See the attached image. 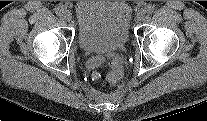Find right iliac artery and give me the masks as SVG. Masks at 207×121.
Returning <instances> with one entry per match:
<instances>
[{
  "instance_id": "1",
  "label": "right iliac artery",
  "mask_w": 207,
  "mask_h": 121,
  "mask_svg": "<svg viewBox=\"0 0 207 121\" xmlns=\"http://www.w3.org/2000/svg\"><path fill=\"white\" fill-rule=\"evenodd\" d=\"M55 13H56L58 16H63L64 8H63V7H56V8H55Z\"/></svg>"
}]
</instances>
